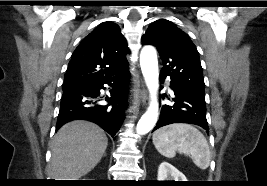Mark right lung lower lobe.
I'll return each instance as SVG.
<instances>
[{
	"label": "right lung lower lobe",
	"instance_id": "1",
	"mask_svg": "<svg viewBox=\"0 0 267 186\" xmlns=\"http://www.w3.org/2000/svg\"><path fill=\"white\" fill-rule=\"evenodd\" d=\"M128 65L101 78H94L63 85L60 111L56 128L67 122L81 119L96 123L112 137L118 132L127 107ZM104 84L111 86L107 105L100 103V90Z\"/></svg>",
	"mask_w": 267,
	"mask_h": 186
}]
</instances>
